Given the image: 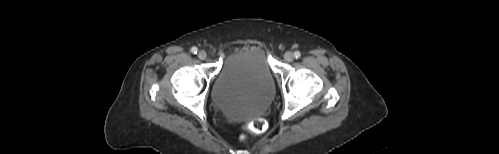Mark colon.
<instances>
[{"instance_id":"5ec220e1","label":"colon","mask_w":499,"mask_h":154,"mask_svg":"<svg viewBox=\"0 0 499 154\" xmlns=\"http://www.w3.org/2000/svg\"><path fill=\"white\" fill-rule=\"evenodd\" d=\"M247 128L253 133H262L267 129V124L263 119H255L248 125ZM241 139H245V135H242Z\"/></svg>"}]
</instances>
